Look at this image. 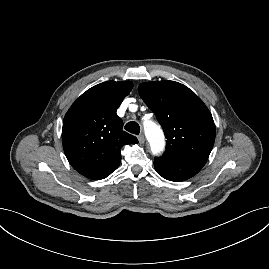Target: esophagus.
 <instances>
[{
    "label": "esophagus",
    "mask_w": 269,
    "mask_h": 269,
    "mask_svg": "<svg viewBox=\"0 0 269 269\" xmlns=\"http://www.w3.org/2000/svg\"><path fill=\"white\" fill-rule=\"evenodd\" d=\"M138 140H139V142H140L141 144H143V143L145 142V137H144V135H143V134H140V135L138 136Z\"/></svg>",
    "instance_id": "34e87169"
}]
</instances>
